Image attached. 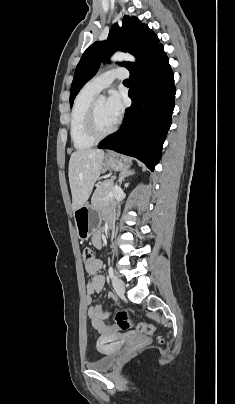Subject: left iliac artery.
<instances>
[{"label": "left iliac artery", "instance_id": "obj_1", "mask_svg": "<svg viewBox=\"0 0 235 404\" xmlns=\"http://www.w3.org/2000/svg\"><path fill=\"white\" fill-rule=\"evenodd\" d=\"M108 274H109L110 278L114 277V270H113V268L111 266L109 267Z\"/></svg>", "mask_w": 235, "mask_h": 404}]
</instances>
